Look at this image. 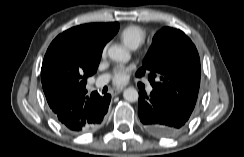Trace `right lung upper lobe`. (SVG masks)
Segmentation results:
<instances>
[{"mask_svg":"<svg viewBox=\"0 0 244 157\" xmlns=\"http://www.w3.org/2000/svg\"><path fill=\"white\" fill-rule=\"evenodd\" d=\"M118 29L117 22L90 23L58 35L50 44L41 69L46 99L86 92L87 77L96 72L104 46Z\"/></svg>","mask_w":244,"mask_h":157,"instance_id":"1","label":"right lung upper lobe"}]
</instances>
